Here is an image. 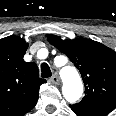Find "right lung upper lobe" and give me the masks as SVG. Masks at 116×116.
I'll list each match as a JSON object with an SVG mask.
<instances>
[{
    "label": "right lung upper lobe",
    "mask_w": 116,
    "mask_h": 116,
    "mask_svg": "<svg viewBox=\"0 0 116 116\" xmlns=\"http://www.w3.org/2000/svg\"><path fill=\"white\" fill-rule=\"evenodd\" d=\"M28 48L24 39L8 36L0 39V116H23L37 103L39 87L38 67L25 62Z\"/></svg>",
    "instance_id": "right-lung-upper-lobe-1"
}]
</instances>
